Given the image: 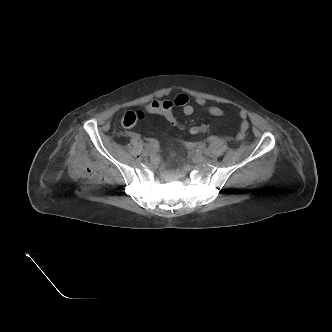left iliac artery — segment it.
I'll return each mask as SVG.
<instances>
[{"mask_svg": "<svg viewBox=\"0 0 332 332\" xmlns=\"http://www.w3.org/2000/svg\"><path fill=\"white\" fill-rule=\"evenodd\" d=\"M197 153L198 154H200V155H202V154H205L206 156H209L210 155V152H209V150H207V149H200V150H197Z\"/></svg>", "mask_w": 332, "mask_h": 332, "instance_id": "44dca946", "label": "left iliac artery"}]
</instances>
